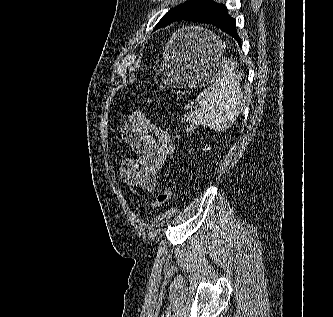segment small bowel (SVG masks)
<instances>
[{
  "label": "small bowel",
  "mask_w": 333,
  "mask_h": 317,
  "mask_svg": "<svg viewBox=\"0 0 333 317\" xmlns=\"http://www.w3.org/2000/svg\"><path fill=\"white\" fill-rule=\"evenodd\" d=\"M121 136L137 156L120 163V181L132 193L141 188L145 193L153 194L158 186V173L173 152L172 136L141 111L128 116L121 127Z\"/></svg>",
  "instance_id": "1"
}]
</instances>
